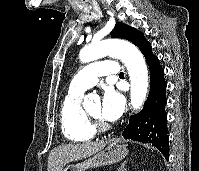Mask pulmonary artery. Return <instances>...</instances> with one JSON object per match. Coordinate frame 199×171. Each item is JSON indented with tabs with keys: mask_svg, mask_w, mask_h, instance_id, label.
Returning <instances> with one entry per match:
<instances>
[{
	"mask_svg": "<svg viewBox=\"0 0 199 171\" xmlns=\"http://www.w3.org/2000/svg\"><path fill=\"white\" fill-rule=\"evenodd\" d=\"M119 68L116 62L100 60L92 62L83 67L72 79L69 89L73 91H85L94 86L100 77L116 75Z\"/></svg>",
	"mask_w": 199,
	"mask_h": 171,
	"instance_id": "pulmonary-artery-1",
	"label": "pulmonary artery"
}]
</instances>
